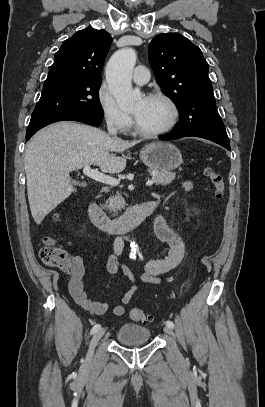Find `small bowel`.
I'll list each match as a JSON object with an SVG mask.
<instances>
[{
	"label": "small bowel",
	"instance_id": "small-bowel-1",
	"mask_svg": "<svg viewBox=\"0 0 265 407\" xmlns=\"http://www.w3.org/2000/svg\"><path fill=\"white\" fill-rule=\"evenodd\" d=\"M185 190L192 189L190 181L181 183ZM154 233L156 237L165 242L169 246L167 254L161 258L150 259L144 265V271L141 275V280L148 283H157L159 278L164 273L177 267L184 256V242L179 235L167 224L165 219L158 216L154 222ZM121 247L118 246L114 253L108 257L107 270L112 275H123L128 277L132 282H135V276L127 267L119 265V255ZM85 275V266L81 257L74 258V266L70 271L69 292L75 302L84 310L94 315H102L109 309V303L96 301L88 298L84 291L83 277ZM136 285L133 284L122 296L120 303L113 307V312L116 316H122L125 313V306L131 301L136 292Z\"/></svg>",
	"mask_w": 265,
	"mask_h": 407
}]
</instances>
